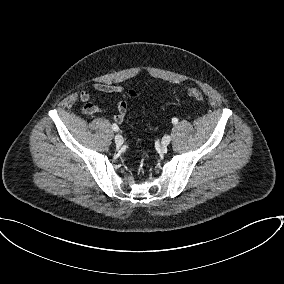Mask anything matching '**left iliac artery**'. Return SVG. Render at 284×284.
Masks as SVG:
<instances>
[{
  "label": "left iliac artery",
  "mask_w": 284,
  "mask_h": 284,
  "mask_svg": "<svg viewBox=\"0 0 284 284\" xmlns=\"http://www.w3.org/2000/svg\"><path fill=\"white\" fill-rule=\"evenodd\" d=\"M172 123H173V124H177V123H178V119H177V118H173V119H172Z\"/></svg>",
  "instance_id": "left-iliac-artery-1"
}]
</instances>
